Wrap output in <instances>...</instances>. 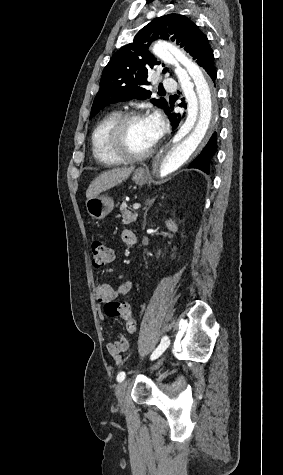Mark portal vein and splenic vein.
I'll use <instances>...</instances> for the list:
<instances>
[{"mask_svg": "<svg viewBox=\"0 0 283 475\" xmlns=\"http://www.w3.org/2000/svg\"><path fill=\"white\" fill-rule=\"evenodd\" d=\"M141 208V204H133V210H139Z\"/></svg>", "mask_w": 283, "mask_h": 475, "instance_id": "portal-vein-and-splenic-vein-1", "label": "portal vein and splenic vein"}]
</instances>
